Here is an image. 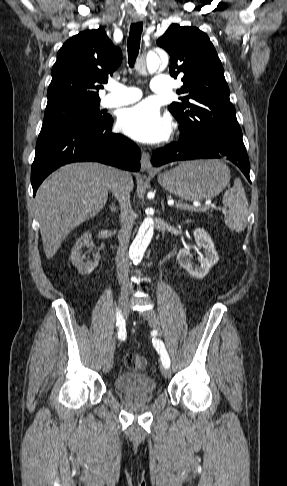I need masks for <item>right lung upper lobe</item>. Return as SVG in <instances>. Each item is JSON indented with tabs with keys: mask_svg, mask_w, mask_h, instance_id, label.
<instances>
[{
	"mask_svg": "<svg viewBox=\"0 0 287 486\" xmlns=\"http://www.w3.org/2000/svg\"><path fill=\"white\" fill-rule=\"evenodd\" d=\"M122 52L102 28L80 32L60 48L47 91V106L100 100L98 90L119 67Z\"/></svg>",
	"mask_w": 287,
	"mask_h": 486,
	"instance_id": "right-lung-upper-lobe-1",
	"label": "right lung upper lobe"
}]
</instances>
